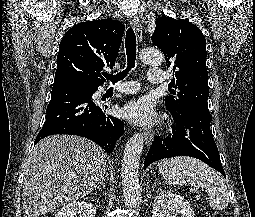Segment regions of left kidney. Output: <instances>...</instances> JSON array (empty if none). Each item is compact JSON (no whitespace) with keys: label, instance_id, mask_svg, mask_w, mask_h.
<instances>
[{"label":"left kidney","instance_id":"obj_1","mask_svg":"<svg viewBox=\"0 0 255 217\" xmlns=\"http://www.w3.org/2000/svg\"><path fill=\"white\" fill-rule=\"evenodd\" d=\"M195 217L190 203L184 197L170 191H162L156 196L153 203L152 217Z\"/></svg>","mask_w":255,"mask_h":217}]
</instances>
